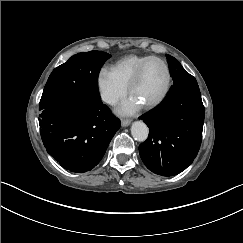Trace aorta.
I'll use <instances>...</instances> for the list:
<instances>
[{
    "label": "aorta",
    "instance_id": "aorta-1",
    "mask_svg": "<svg viewBox=\"0 0 243 243\" xmlns=\"http://www.w3.org/2000/svg\"><path fill=\"white\" fill-rule=\"evenodd\" d=\"M131 134L135 140L143 142L148 138L149 128L144 122L135 121L131 126Z\"/></svg>",
    "mask_w": 243,
    "mask_h": 243
}]
</instances>
